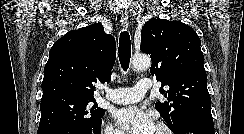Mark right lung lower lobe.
I'll use <instances>...</instances> for the list:
<instances>
[{"label": "right lung lower lobe", "instance_id": "obj_1", "mask_svg": "<svg viewBox=\"0 0 244 134\" xmlns=\"http://www.w3.org/2000/svg\"><path fill=\"white\" fill-rule=\"evenodd\" d=\"M44 134H101V124L92 127H79V126H58L47 130Z\"/></svg>", "mask_w": 244, "mask_h": 134}]
</instances>
